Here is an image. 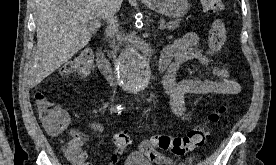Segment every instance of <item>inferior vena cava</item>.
Returning a JSON list of instances; mask_svg holds the SVG:
<instances>
[{
	"label": "inferior vena cava",
	"mask_w": 276,
	"mask_h": 165,
	"mask_svg": "<svg viewBox=\"0 0 276 165\" xmlns=\"http://www.w3.org/2000/svg\"><path fill=\"white\" fill-rule=\"evenodd\" d=\"M106 36L109 39V46L116 52L117 46L115 37L119 36V23L115 13H111L107 18Z\"/></svg>",
	"instance_id": "1"
}]
</instances>
